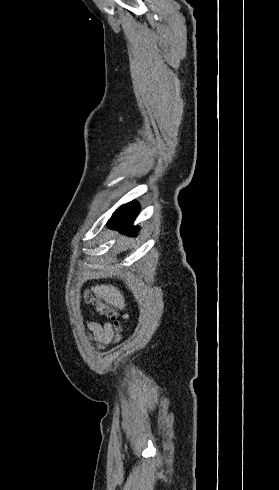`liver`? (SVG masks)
<instances>
[{
	"label": "liver",
	"mask_w": 279,
	"mask_h": 490,
	"mask_svg": "<svg viewBox=\"0 0 279 490\" xmlns=\"http://www.w3.org/2000/svg\"><path fill=\"white\" fill-rule=\"evenodd\" d=\"M117 244L124 246L123 242H120V240H118ZM92 290L98 298H102V300L108 302L110 306H115V308H120V310L125 308V298L116 286H111V284L105 286V284H102V286H92Z\"/></svg>",
	"instance_id": "liver-1"
}]
</instances>
